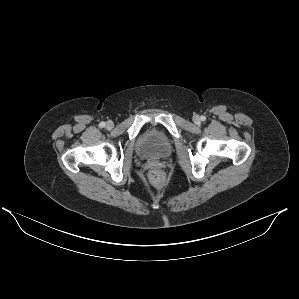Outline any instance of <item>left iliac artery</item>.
<instances>
[{
	"label": "left iliac artery",
	"mask_w": 299,
	"mask_h": 299,
	"mask_svg": "<svg viewBox=\"0 0 299 299\" xmlns=\"http://www.w3.org/2000/svg\"><path fill=\"white\" fill-rule=\"evenodd\" d=\"M202 121H205L206 120V117L205 116H201L200 118Z\"/></svg>",
	"instance_id": "obj_1"
}]
</instances>
